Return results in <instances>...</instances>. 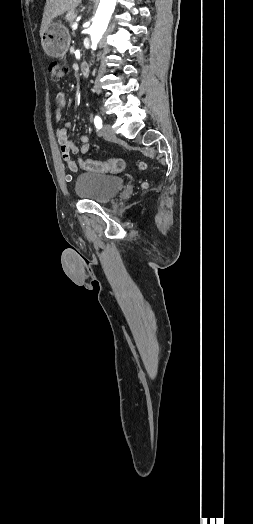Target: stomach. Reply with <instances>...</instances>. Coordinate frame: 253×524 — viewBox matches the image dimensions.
Masks as SVG:
<instances>
[{
    "instance_id": "stomach-1",
    "label": "stomach",
    "mask_w": 253,
    "mask_h": 524,
    "mask_svg": "<svg viewBox=\"0 0 253 524\" xmlns=\"http://www.w3.org/2000/svg\"><path fill=\"white\" fill-rule=\"evenodd\" d=\"M70 41L69 31L60 21L51 22L41 37L43 50L52 58L64 57Z\"/></svg>"
}]
</instances>
